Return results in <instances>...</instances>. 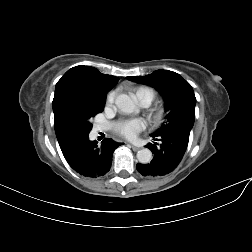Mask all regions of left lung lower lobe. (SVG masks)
<instances>
[{"mask_svg":"<svg viewBox=\"0 0 252 252\" xmlns=\"http://www.w3.org/2000/svg\"><path fill=\"white\" fill-rule=\"evenodd\" d=\"M189 136L190 130L187 129H174L159 136H152L157 137L154 140L160 143L147 145L154 157L150 163H138L136 165L138 172L148 177L164 176L172 172L185 154Z\"/></svg>","mask_w":252,"mask_h":252,"instance_id":"1","label":"left lung lower lobe"}]
</instances>
